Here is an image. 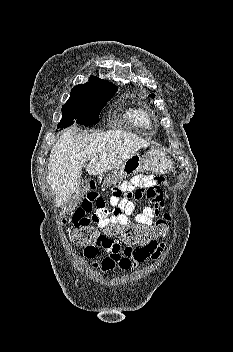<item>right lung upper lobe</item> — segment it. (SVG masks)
Here are the masks:
<instances>
[{"instance_id":"cb5924a9","label":"right lung upper lobe","mask_w":233,"mask_h":352,"mask_svg":"<svg viewBox=\"0 0 233 352\" xmlns=\"http://www.w3.org/2000/svg\"><path fill=\"white\" fill-rule=\"evenodd\" d=\"M86 87H98V88L105 89L107 91L117 90V87H115L111 82L101 80L98 77L91 76L89 78V82H87L85 84H79V85L73 87V89L71 90V95L78 93L79 91H81L82 89H84Z\"/></svg>"}]
</instances>
